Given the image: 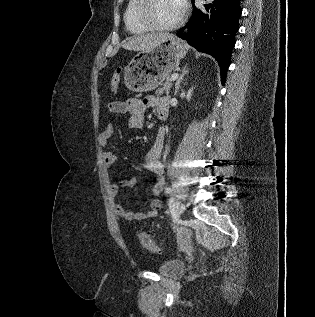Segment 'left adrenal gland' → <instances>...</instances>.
<instances>
[{"label":"left adrenal gland","mask_w":315,"mask_h":317,"mask_svg":"<svg viewBox=\"0 0 315 317\" xmlns=\"http://www.w3.org/2000/svg\"><path fill=\"white\" fill-rule=\"evenodd\" d=\"M188 73V69L187 67L185 66L183 69H182V73L180 75V77L178 78L176 84H175V92H174V96L177 95V92H178V89H179V86H180V83L181 81L183 80L184 76Z\"/></svg>","instance_id":"left-adrenal-gland-1"}]
</instances>
